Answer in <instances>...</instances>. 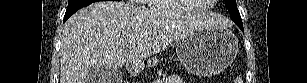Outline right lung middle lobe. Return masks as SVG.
<instances>
[{"mask_svg": "<svg viewBox=\"0 0 307 83\" xmlns=\"http://www.w3.org/2000/svg\"><path fill=\"white\" fill-rule=\"evenodd\" d=\"M97 0H69L68 7L66 10L65 15H72L74 14L78 9L85 7L89 4H92L96 2Z\"/></svg>", "mask_w": 307, "mask_h": 83, "instance_id": "obj_1", "label": "right lung middle lobe"}]
</instances>
